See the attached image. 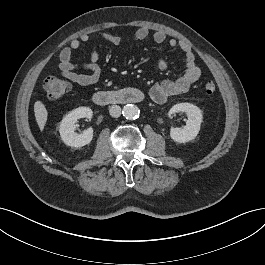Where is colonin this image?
<instances>
[{
    "instance_id": "1",
    "label": "colon",
    "mask_w": 265,
    "mask_h": 265,
    "mask_svg": "<svg viewBox=\"0 0 265 265\" xmlns=\"http://www.w3.org/2000/svg\"><path fill=\"white\" fill-rule=\"evenodd\" d=\"M204 92L208 95H212L216 86L213 81H207L203 86ZM44 90L47 97L52 101H58L62 99L69 91V84L56 77H48L44 81Z\"/></svg>"
}]
</instances>
